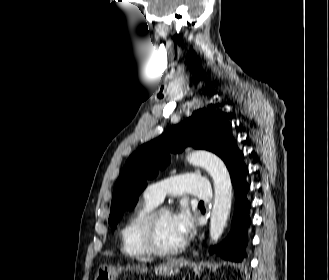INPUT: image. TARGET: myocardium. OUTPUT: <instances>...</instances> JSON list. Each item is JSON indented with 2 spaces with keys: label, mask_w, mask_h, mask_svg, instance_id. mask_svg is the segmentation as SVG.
<instances>
[{
  "label": "myocardium",
  "mask_w": 329,
  "mask_h": 280,
  "mask_svg": "<svg viewBox=\"0 0 329 280\" xmlns=\"http://www.w3.org/2000/svg\"><path fill=\"white\" fill-rule=\"evenodd\" d=\"M162 213H171V210L165 206H159L152 209L144 218L140 226V239L149 253L156 255H174L182 251L185 247V242L182 241L177 246L172 248L162 247L156 240V222Z\"/></svg>",
  "instance_id": "f54148a6"
}]
</instances>
